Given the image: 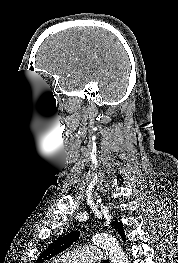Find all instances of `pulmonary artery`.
Wrapping results in <instances>:
<instances>
[{
  "label": "pulmonary artery",
  "instance_id": "1",
  "mask_svg": "<svg viewBox=\"0 0 178 263\" xmlns=\"http://www.w3.org/2000/svg\"><path fill=\"white\" fill-rule=\"evenodd\" d=\"M102 258V253L97 247H83L73 252L60 256L59 263H96Z\"/></svg>",
  "mask_w": 178,
  "mask_h": 263
}]
</instances>
